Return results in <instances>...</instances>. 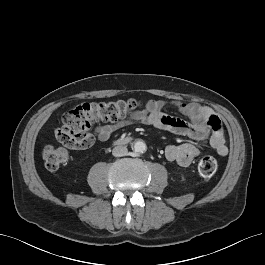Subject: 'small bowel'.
Returning a JSON list of instances; mask_svg holds the SVG:
<instances>
[{
  "mask_svg": "<svg viewBox=\"0 0 265 265\" xmlns=\"http://www.w3.org/2000/svg\"><path fill=\"white\" fill-rule=\"evenodd\" d=\"M169 105L187 117L188 121L164 114L163 110ZM212 117H216L219 120L209 107L197 103H187L180 100L165 101L151 99L146 102L142 110L136 112L131 117L117 123H107L97 127L94 136L91 135L86 145H69L68 147L78 150L85 149L94 144L95 141H107L115 131L125 126L140 123L185 135L197 141L209 139L217 153L225 156L228 149L220 130L217 132L211 127L210 119ZM197 154L198 148L192 143L171 144L165 149V157L167 160L183 167L189 166Z\"/></svg>",
  "mask_w": 265,
  "mask_h": 265,
  "instance_id": "small-bowel-1",
  "label": "small bowel"
}]
</instances>
